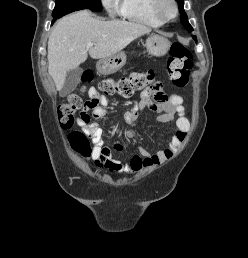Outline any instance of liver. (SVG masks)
<instances>
[{
    "label": "liver",
    "mask_w": 248,
    "mask_h": 258,
    "mask_svg": "<svg viewBox=\"0 0 248 258\" xmlns=\"http://www.w3.org/2000/svg\"><path fill=\"white\" fill-rule=\"evenodd\" d=\"M150 32V28L137 23L95 19L87 10L63 17L48 40V72L56 89L63 88L67 72L85 62L88 53L93 59L110 57ZM88 43L94 46L87 48Z\"/></svg>",
    "instance_id": "1"
}]
</instances>
